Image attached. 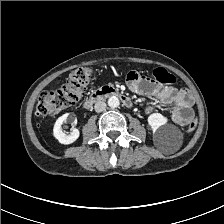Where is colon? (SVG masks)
<instances>
[{"label":"colon","mask_w":224,"mask_h":224,"mask_svg":"<svg viewBox=\"0 0 224 224\" xmlns=\"http://www.w3.org/2000/svg\"><path fill=\"white\" fill-rule=\"evenodd\" d=\"M154 78L163 84H173L176 79L173 74L162 67L153 71ZM93 79V71L89 67L81 66L74 69L64 86L54 91H44L38 99L36 113L39 116H53L63 109L75 105L87 86ZM197 121L193 120L188 126V131L196 128Z\"/></svg>","instance_id":"obj_1"}]
</instances>
